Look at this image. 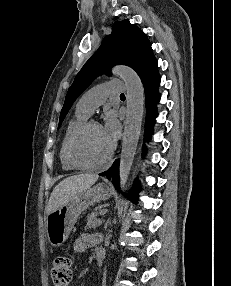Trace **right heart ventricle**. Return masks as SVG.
Wrapping results in <instances>:
<instances>
[{
	"label": "right heart ventricle",
	"mask_w": 231,
	"mask_h": 286,
	"mask_svg": "<svg viewBox=\"0 0 231 286\" xmlns=\"http://www.w3.org/2000/svg\"><path fill=\"white\" fill-rule=\"evenodd\" d=\"M88 115H86L85 113L76 110V113L74 115V117L69 121L63 138L61 140V144H60V148H59V160H60V164L61 167L64 170L67 171H73L76 170L78 168L74 167L68 160L67 157V146H68V142L70 137L72 136V134L74 133V131L83 123L88 119Z\"/></svg>",
	"instance_id": "right-heart-ventricle-1"
}]
</instances>
